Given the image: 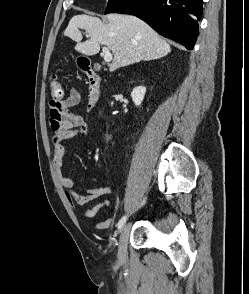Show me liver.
Segmentation results:
<instances>
[{"label":"liver","mask_w":249,"mask_h":294,"mask_svg":"<svg viewBox=\"0 0 249 294\" xmlns=\"http://www.w3.org/2000/svg\"><path fill=\"white\" fill-rule=\"evenodd\" d=\"M107 23L87 14L71 18L64 36L77 42L75 50L87 56L99 53L100 45H106L114 58L110 65L113 72L140 61H150L166 56L170 45L142 20L121 14H110ZM84 29L90 39L82 42Z\"/></svg>","instance_id":"obj_1"}]
</instances>
